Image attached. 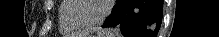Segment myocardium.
<instances>
[{
  "instance_id": "f54148a6",
  "label": "myocardium",
  "mask_w": 219,
  "mask_h": 37,
  "mask_svg": "<svg viewBox=\"0 0 219 37\" xmlns=\"http://www.w3.org/2000/svg\"><path fill=\"white\" fill-rule=\"evenodd\" d=\"M68 1L71 3V7L67 11L66 17L70 21L71 24L79 28L95 27L103 23L110 12L111 2H112L111 0H104V10L97 19L92 20V21H77L73 17V14L78 7L77 1L76 0H68Z\"/></svg>"
}]
</instances>
